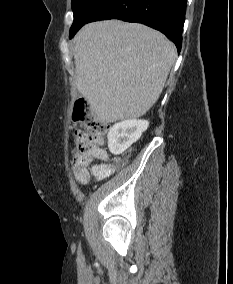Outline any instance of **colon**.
I'll use <instances>...</instances> for the list:
<instances>
[{"instance_id": "5ec220e1", "label": "colon", "mask_w": 233, "mask_h": 284, "mask_svg": "<svg viewBox=\"0 0 233 284\" xmlns=\"http://www.w3.org/2000/svg\"><path fill=\"white\" fill-rule=\"evenodd\" d=\"M74 121L80 123L84 130L75 131V159L73 164L74 175L83 173L84 169L95 160H106L107 152L103 148L104 135L109 130V124L100 120L94 114L91 106L79 99L74 104Z\"/></svg>"}]
</instances>
